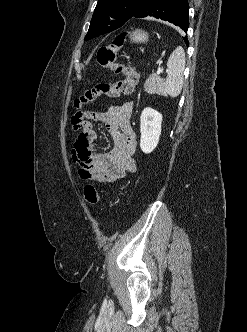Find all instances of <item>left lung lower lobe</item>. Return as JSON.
<instances>
[{"label": "left lung lower lobe", "mask_w": 247, "mask_h": 332, "mask_svg": "<svg viewBox=\"0 0 247 332\" xmlns=\"http://www.w3.org/2000/svg\"><path fill=\"white\" fill-rule=\"evenodd\" d=\"M188 0H146L133 15L134 18L155 17L179 26L185 32L189 27ZM189 45L187 37H183Z\"/></svg>", "instance_id": "left-lung-lower-lobe-1"}]
</instances>
